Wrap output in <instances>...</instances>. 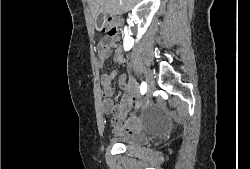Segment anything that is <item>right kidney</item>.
Segmentation results:
<instances>
[{
    "label": "right kidney",
    "mask_w": 250,
    "mask_h": 169,
    "mask_svg": "<svg viewBox=\"0 0 250 169\" xmlns=\"http://www.w3.org/2000/svg\"><path fill=\"white\" fill-rule=\"evenodd\" d=\"M159 6L160 0H141L132 8L131 18L134 22H137L138 32L136 38H132L129 34L130 30L127 26H124V50H130L135 42L142 38Z\"/></svg>",
    "instance_id": "ca27d5eb"
}]
</instances>
